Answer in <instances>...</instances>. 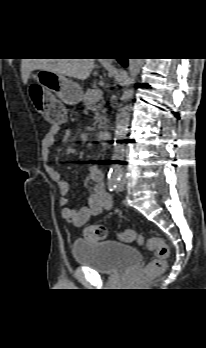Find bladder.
<instances>
[{
    "mask_svg": "<svg viewBox=\"0 0 206 348\" xmlns=\"http://www.w3.org/2000/svg\"><path fill=\"white\" fill-rule=\"evenodd\" d=\"M72 253L78 265L106 275L119 274L141 260L137 248L115 241L77 240Z\"/></svg>",
    "mask_w": 206,
    "mask_h": 348,
    "instance_id": "1",
    "label": "bladder"
}]
</instances>
